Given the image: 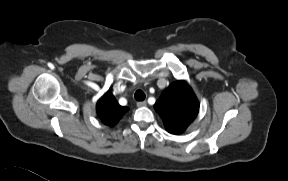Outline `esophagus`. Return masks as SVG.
<instances>
[{
    "mask_svg": "<svg viewBox=\"0 0 288 181\" xmlns=\"http://www.w3.org/2000/svg\"><path fill=\"white\" fill-rule=\"evenodd\" d=\"M136 104H137V107H144L147 105V102L146 101H139Z\"/></svg>",
    "mask_w": 288,
    "mask_h": 181,
    "instance_id": "1",
    "label": "esophagus"
}]
</instances>
